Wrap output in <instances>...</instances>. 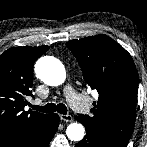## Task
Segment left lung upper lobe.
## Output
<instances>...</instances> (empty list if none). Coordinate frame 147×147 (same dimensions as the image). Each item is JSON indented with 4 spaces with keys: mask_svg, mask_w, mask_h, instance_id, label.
Instances as JSON below:
<instances>
[{
    "mask_svg": "<svg viewBox=\"0 0 147 147\" xmlns=\"http://www.w3.org/2000/svg\"><path fill=\"white\" fill-rule=\"evenodd\" d=\"M84 80L99 97L92 115H80L119 147H126L134 129L138 76L131 55L112 38L96 35L71 40Z\"/></svg>",
    "mask_w": 147,
    "mask_h": 147,
    "instance_id": "5c2ea615",
    "label": "left lung upper lobe"
}]
</instances>
